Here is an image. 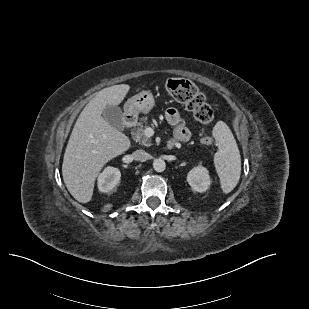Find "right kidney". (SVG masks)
<instances>
[{
	"label": "right kidney",
	"instance_id": "ca27d5eb",
	"mask_svg": "<svg viewBox=\"0 0 309 309\" xmlns=\"http://www.w3.org/2000/svg\"><path fill=\"white\" fill-rule=\"evenodd\" d=\"M121 173L119 169L114 167H106L98 177V189L107 193L114 189L120 182Z\"/></svg>",
	"mask_w": 309,
	"mask_h": 309
}]
</instances>
